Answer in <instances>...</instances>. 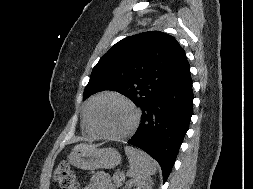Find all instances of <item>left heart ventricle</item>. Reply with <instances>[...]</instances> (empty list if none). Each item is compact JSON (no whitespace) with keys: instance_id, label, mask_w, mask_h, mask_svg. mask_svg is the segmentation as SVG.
I'll list each match as a JSON object with an SVG mask.
<instances>
[{"instance_id":"1","label":"left heart ventricle","mask_w":253,"mask_h":189,"mask_svg":"<svg viewBox=\"0 0 253 189\" xmlns=\"http://www.w3.org/2000/svg\"><path fill=\"white\" fill-rule=\"evenodd\" d=\"M133 112L123 101L107 97L101 99L94 108V119L98 127L110 134H121L133 122Z\"/></svg>"}]
</instances>
